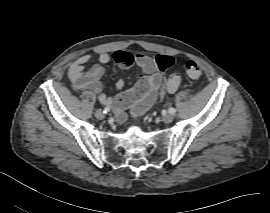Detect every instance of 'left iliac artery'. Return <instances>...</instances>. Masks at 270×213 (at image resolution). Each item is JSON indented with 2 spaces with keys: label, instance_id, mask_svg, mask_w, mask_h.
Segmentation results:
<instances>
[{
  "label": "left iliac artery",
  "instance_id": "left-iliac-artery-1",
  "mask_svg": "<svg viewBox=\"0 0 270 213\" xmlns=\"http://www.w3.org/2000/svg\"><path fill=\"white\" fill-rule=\"evenodd\" d=\"M169 113H170L171 115H174V114L176 113V109L173 108V107L169 108Z\"/></svg>",
  "mask_w": 270,
  "mask_h": 213
}]
</instances>
